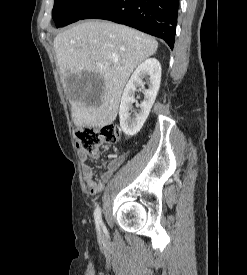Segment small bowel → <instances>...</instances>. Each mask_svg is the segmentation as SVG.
<instances>
[{
    "mask_svg": "<svg viewBox=\"0 0 247 275\" xmlns=\"http://www.w3.org/2000/svg\"><path fill=\"white\" fill-rule=\"evenodd\" d=\"M89 156L85 151L81 153L83 178L90 194L96 195L103 190L104 183L107 182L113 173L122 165L125 158L124 156H118L111 160L101 172L99 178L96 179L95 171L88 161Z\"/></svg>",
    "mask_w": 247,
    "mask_h": 275,
    "instance_id": "c3829d8e",
    "label": "small bowel"
}]
</instances>
